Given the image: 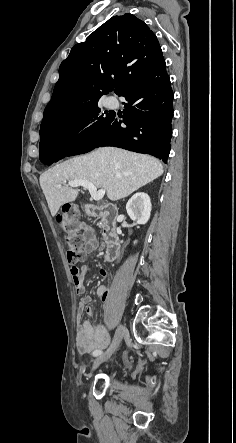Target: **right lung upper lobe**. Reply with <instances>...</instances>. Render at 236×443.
I'll use <instances>...</instances> for the list:
<instances>
[{
  "mask_svg": "<svg viewBox=\"0 0 236 443\" xmlns=\"http://www.w3.org/2000/svg\"><path fill=\"white\" fill-rule=\"evenodd\" d=\"M156 35L132 14L114 16L71 49L43 120L94 101L114 89L120 95L162 58Z\"/></svg>",
  "mask_w": 236,
  "mask_h": 443,
  "instance_id": "1",
  "label": "right lung upper lobe"
}]
</instances>
